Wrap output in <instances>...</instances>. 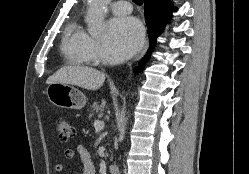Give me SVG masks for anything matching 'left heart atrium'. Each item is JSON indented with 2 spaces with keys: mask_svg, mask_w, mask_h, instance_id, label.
<instances>
[{
  "mask_svg": "<svg viewBox=\"0 0 249 174\" xmlns=\"http://www.w3.org/2000/svg\"><path fill=\"white\" fill-rule=\"evenodd\" d=\"M144 31L133 17H119L108 24V34L103 42V56L108 61L121 62L135 54L142 45Z\"/></svg>",
  "mask_w": 249,
  "mask_h": 174,
  "instance_id": "obj_1",
  "label": "left heart atrium"
}]
</instances>
